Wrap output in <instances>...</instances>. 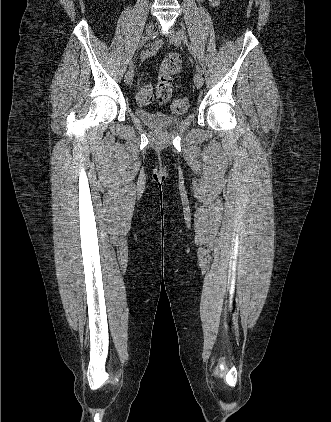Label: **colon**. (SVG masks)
I'll return each instance as SVG.
<instances>
[{
    "label": "colon",
    "mask_w": 331,
    "mask_h": 422,
    "mask_svg": "<svg viewBox=\"0 0 331 422\" xmlns=\"http://www.w3.org/2000/svg\"><path fill=\"white\" fill-rule=\"evenodd\" d=\"M182 60L178 54L171 53L167 55L160 67L158 84H157V101L159 103H165L171 97L174 89L173 81L174 78L181 71ZM148 99L145 97L141 98V103L145 104ZM188 102L185 98L175 99L171 104V110L175 113L182 112L187 109Z\"/></svg>",
    "instance_id": "obj_1"
}]
</instances>
